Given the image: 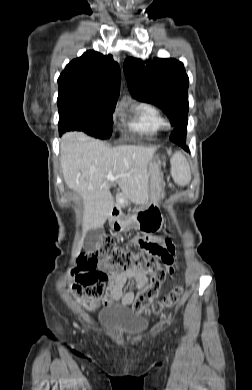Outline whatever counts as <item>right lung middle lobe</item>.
<instances>
[{
  "instance_id": "right-lung-middle-lobe-1",
  "label": "right lung middle lobe",
  "mask_w": 252,
  "mask_h": 390,
  "mask_svg": "<svg viewBox=\"0 0 252 390\" xmlns=\"http://www.w3.org/2000/svg\"><path fill=\"white\" fill-rule=\"evenodd\" d=\"M114 108L96 104L58 107L59 134L77 130L95 138H109L112 133V113Z\"/></svg>"
}]
</instances>
